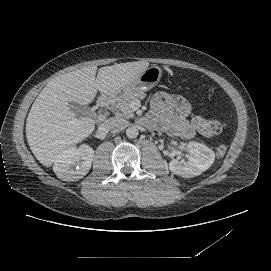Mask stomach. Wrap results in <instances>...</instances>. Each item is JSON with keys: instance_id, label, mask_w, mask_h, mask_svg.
Instances as JSON below:
<instances>
[{"instance_id": "0dacf381", "label": "stomach", "mask_w": 271, "mask_h": 271, "mask_svg": "<svg viewBox=\"0 0 271 271\" xmlns=\"http://www.w3.org/2000/svg\"><path fill=\"white\" fill-rule=\"evenodd\" d=\"M161 76L159 67H150L145 69L134 81L118 91L111 92V95L117 101L124 98L127 94L143 93L150 90L158 83Z\"/></svg>"}]
</instances>
